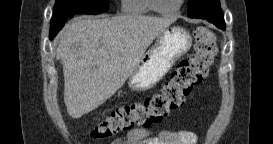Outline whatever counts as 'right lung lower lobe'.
I'll return each instance as SVG.
<instances>
[{
    "label": "right lung lower lobe",
    "instance_id": "obj_1",
    "mask_svg": "<svg viewBox=\"0 0 273 144\" xmlns=\"http://www.w3.org/2000/svg\"><path fill=\"white\" fill-rule=\"evenodd\" d=\"M55 36H50V39H53Z\"/></svg>",
    "mask_w": 273,
    "mask_h": 144
}]
</instances>
